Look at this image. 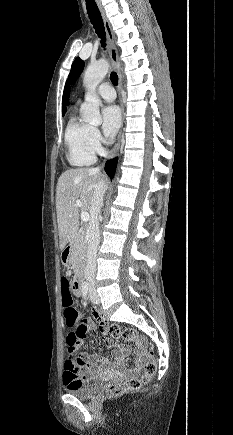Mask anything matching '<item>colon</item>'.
Returning <instances> with one entry per match:
<instances>
[{"mask_svg":"<svg viewBox=\"0 0 233 435\" xmlns=\"http://www.w3.org/2000/svg\"><path fill=\"white\" fill-rule=\"evenodd\" d=\"M62 280L67 283V276H63ZM65 305L64 317L67 326L71 327L80 317L79 313L74 307V298L72 295H67L63 298ZM110 335L113 337H122L126 341H133L137 338V331L133 328H123L119 325H112L109 328ZM67 354L68 357L77 363H81L79 356L77 355V348L73 340H67ZM156 366L154 363L153 353H149L147 364L144 367L141 378H128L121 382H113L105 386L103 394L106 397H117L124 394H128L133 390L140 388L142 384L149 383L154 377Z\"/></svg>","mask_w":233,"mask_h":435,"instance_id":"colon-1","label":"colon"}]
</instances>
